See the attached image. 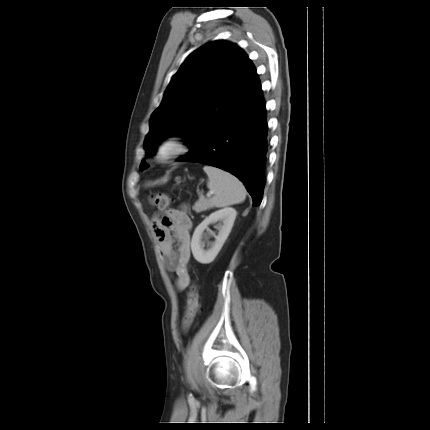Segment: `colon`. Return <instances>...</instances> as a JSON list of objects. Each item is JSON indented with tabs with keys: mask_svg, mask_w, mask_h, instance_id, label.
<instances>
[{
	"mask_svg": "<svg viewBox=\"0 0 430 430\" xmlns=\"http://www.w3.org/2000/svg\"><path fill=\"white\" fill-rule=\"evenodd\" d=\"M151 203L160 211H167L172 203L171 197L166 193H156L151 195ZM199 312V296L197 287L192 284L187 299L186 311L182 320V327L187 330L193 323V320Z\"/></svg>",
	"mask_w": 430,
	"mask_h": 430,
	"instance_id": "1",
	"label": "colon"
}]
</instances>
